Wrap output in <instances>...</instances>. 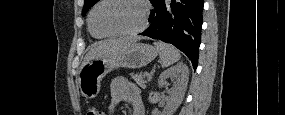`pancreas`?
Masks as SVG:
<instances>
[{
	"label": "pancreas",
	"instance_id": "obj_1",
	"mask_svg": "<svg viewBox=\"0 0 285 115\" xmlns=\"http://www.w3.org/2000/svg\"><path fill=\"white\" fill-rule=\"evenodd\" d=\"M132 79L136 82V84H138L141 88H145L146 87V83L147 81L144 79V75H142L141 73L139 74H130Z\"/></svg>",
	"mask_w": 285,
	"mask_h": 115
}]
</instances>
